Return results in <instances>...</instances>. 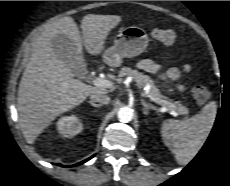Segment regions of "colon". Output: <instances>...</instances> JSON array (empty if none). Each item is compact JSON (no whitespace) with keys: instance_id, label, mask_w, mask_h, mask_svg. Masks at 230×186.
<instances>
[{"instance_id":"obj_1","label":"colon","mask_w":230,"mask_h":186,"mask_svg":"<svg viewBox=\"0 0 230 186\" xmlns=\"http://www.w3.org/2000/svg\"><path fill=\"white\" fill-rule=\"evenodd\" d=\"M152 36L164 44H173L176 40V33L172 29L156 28L152 31ZM192 95L198 104H204L209 99L210 92L206 86L196 85Z\"/></svg>"}]
</instances>
